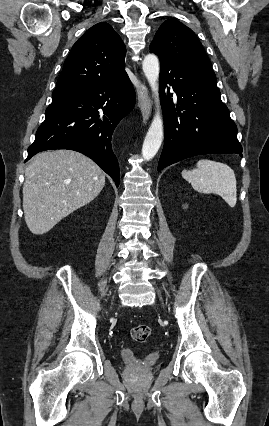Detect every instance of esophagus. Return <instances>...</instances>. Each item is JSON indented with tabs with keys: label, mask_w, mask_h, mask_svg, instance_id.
I'll return each instance as SVG.
<instances>
[{
	"label": "esophagus",
	"mask_w": 269,
	"mask_h": 426,
	"mask_svg": "<svg viewBox=\"0 0 269 426\" xmlns=\"http://www.w3.org/2000/svg\"><path fill=\"white\" fill-rule=\"evenodd\" d=\"M137 93H138L139 107L141 109L142 115L145 120H148L152 111V102H151L148 88L142 82H139Z\"/></svg>",
	"instance_id": "1"
}]
</instances>
